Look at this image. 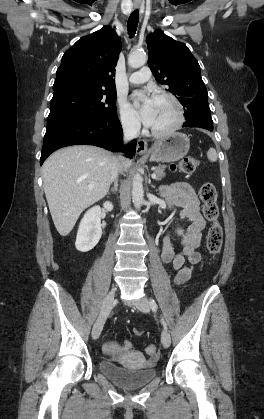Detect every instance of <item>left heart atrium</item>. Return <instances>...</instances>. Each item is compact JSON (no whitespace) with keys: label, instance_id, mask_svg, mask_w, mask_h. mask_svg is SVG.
<instances>
[{"label":"left heart atrium","instance_id":"39dd6f15","mask_svg":"<svg viewBox=\"0 0 264 419\" xmlns=\"http://www.w3.org/2000/svg\"><path fill=\"white\" fill-rule=\"evenodd\" d=\"M134 100L139 103L138 114L146 126H152L156 117V98L147 92H137Z\"/></svg>","mask_w":264,"mask_h":419}]
</instances>
